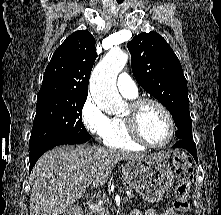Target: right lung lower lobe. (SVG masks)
Segmentation results:
<instances>
[{
	"label": "right lung lower lobe",
	"mask_w": 221,
	"mask_h": 215,
	"mask_svg": "<svg viewBox=\"0 0 221 215\" xmlns=\"http://www.w3.org/2000/svg\"><path fill=\"white\" fill-rule=\"evenodd\" d=\"M91 138V136L88 134L83 137L67 140V141H57V142H50L43 144L33 150L29 153V161H30V171L32 170L33 166L35 165L36 161L39 159V157L46 152L47 150L59 146V145H66V144H81L86 141H88Z\"/></svg>",
	"instance_id": "1"
}]
</instances>
